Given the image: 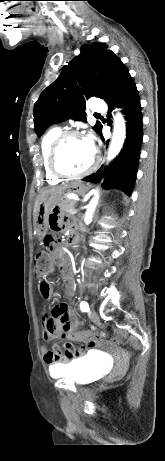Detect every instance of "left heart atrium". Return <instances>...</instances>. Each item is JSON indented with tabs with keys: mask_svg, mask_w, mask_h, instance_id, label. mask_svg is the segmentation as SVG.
<instances>
[{
	"mask_svg": "<svg viewBox=\"0 0 165 461\" xmlns=\"http://www.w3.org/2000/svg\"><path fill=\"white\" fill-rule=\"evenodd\" d=\"M85 139H86L87 143L89 144V146L93 149V142H92L91 138L87 137Z\"/></svg>",
	"mask_w": 165,
	"mask_h": 461,
	"instance_id": "39dd6f15",
	"label": "left heart atrium"
}]
</instances>
